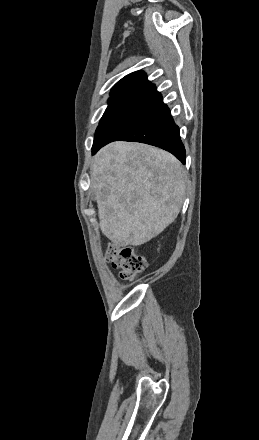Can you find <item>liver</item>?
<instances>
[{
    "label": "liver",
    "mask_w": 259,
    "mask_h": 440,
    "mask_svg": "<svg viewBox=\"0 0 259 440\" xmlns=\"http://www.w3.org/2000/svg\"><path fill=\"white\" fill-rule=\"evenodd\" d=\"M99 225L115 245L140 246L159 235L182 207L186 173L169 152L118 141L102 148L91 168Z\"/></svg>",
    "instance_id": "6515ba94"
}]
</instances>
